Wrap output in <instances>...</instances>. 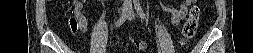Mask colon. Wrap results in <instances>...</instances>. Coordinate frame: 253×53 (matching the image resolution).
I'll return each instance as SVG.
<instances>
[{
    "label": "colon",
    "instance_id": "5ec220e1",
    "mask_svg": "<svg viewBox=\"0 0 253 53\" xmlns=\"http://www.w3.org/2000/svg\"><path fill=\"white\" fill-rule=\"evenodd\" d=\"M77 3V2H76ZM73 16L69 20V27L72 31H77L79 29L80 20L79 17L81 15H84L83 8H80L75 5L73 11ZM200 8L198 5H193L189 11L188 19L186 20L183 30H182V38L181 43L185 44L188 40L194 37L197 28H198V22L200 18ZM133 45L138 48L139 50H143L146 47V44L144 41L141 40H131Z\"/></svg>",
    "mask_w": 253,
    "mask_h": 53
}]
</instances>
